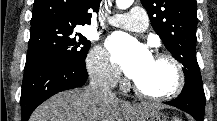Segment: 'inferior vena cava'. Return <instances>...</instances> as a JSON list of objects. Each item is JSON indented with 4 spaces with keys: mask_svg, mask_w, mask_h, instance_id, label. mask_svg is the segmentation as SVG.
I'll use <instances>...</instances> for the list:
<instances>
[{
    "mask_svg": "<svg viewBox=\"0 0 217 121\" xmlns=\"http://www.w3.org/2000/svg\"><path fill=\"white\" fill-rule=\"evenodd\" d=\"M111 87H113L111 83L98 77H91L87 90L97 99H112L115 98V94L111 91Z\"/></svg>",
    "mask_w": 217,
    "mask_h": 121,
    "instance_id": "602c4592",
    "label": "inferior vena cava"
}]
</instances>
